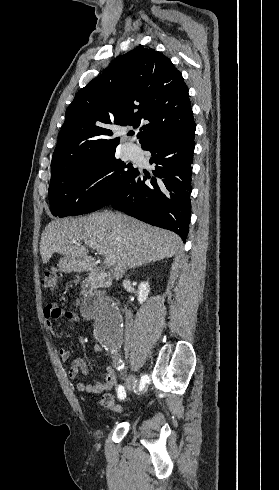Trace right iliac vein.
<instances>
[{
	"instance_id": "obj_1",
	"label": "right iliac vein",
	"mask_w": 279,
	"mask_h": 490,
	"mask_svg": "<svg viewBox=\"0 0 279 490\" xmlns=\"http://www.w3.org/2000/svg\"><path fill=\"white\" fill-rule=\"evenodd\" d=\"M134 381H135V378L133 376H129L126 380V383H125L126 388L129 390H132L135 386Z\"/></svg>"
}]
</instances>
